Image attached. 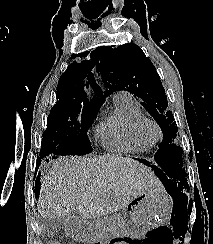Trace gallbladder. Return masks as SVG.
I'll list each match as a JSON object with an SVG mask.
<instances>
[{"label": "gallbladder", "instance_id": "bac80fb5", "mask_svg": "<svg viewBox=\"0 0 213 244\" xmlns=\"http://www.w3.org/2000/svg\"><path fill=\"white\" fill-rule=\"evenodd\" d=\"M61 219H50V218H42L40 220V225L43 229V232L49 236H54L58 233L61 228Z\"/></svg>", "mask_w": 213, "mask_h": 244}]
</instances>
